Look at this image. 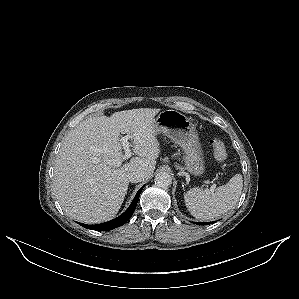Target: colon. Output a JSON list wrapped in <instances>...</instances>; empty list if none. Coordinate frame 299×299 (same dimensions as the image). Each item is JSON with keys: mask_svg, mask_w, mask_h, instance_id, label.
<instances>
[{"mask_svg": "<svg viewBox=\"0 0 299 299\" xmlns=\"http://www.w3.org/2000/svg\"><path fill=\"white\" fill-rule=\"evenodd\" d=\"M211 146L216 160L224 162L227 159V151L224 143L221 140L214 138L211 140Z\"/></svg>", "mask_w": 299, "mask_h": 299, "instance_id": "5ec220e1", "label": "colon"}]
</instances>
